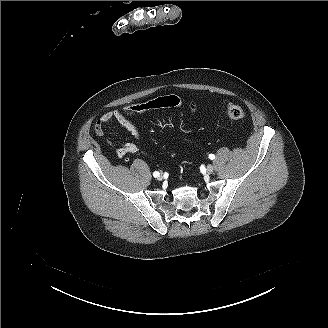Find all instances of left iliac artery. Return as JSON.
<instances>
[{"instance_id":"44dca946","label":"left iliac artery","mask_w":328,"mask_h":328,"mask_svg":"<svg viewBox=\"0 0 328 328\" xmlns=\"http://www.w3.org/2000/svg\"><path fill=\"white\" fill-rule=\"evenodd\" d=\"M209 158H210L211 160H213V159H215V155H214V154H210V155H209Z\"/></svg>"}]
</instances>
